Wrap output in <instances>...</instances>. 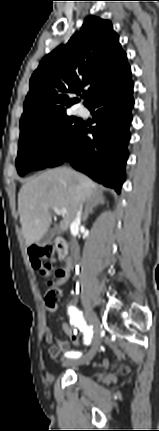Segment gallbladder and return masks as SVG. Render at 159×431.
<instances>
[{"instance_id": "bac80fb5", "label": "gallbladder", "mask_w": 159, "mask_h": 431, "mask_svg": "<svg viewBox=\"0 0 159 431\" xmlns=\"http://www.w3.org/2000/svg\"><path fill=\"white\" fill-rule=\"evenodd\" d=\"M56 233V230L53 228H49L46 233L38 240V245L45 246L53 239L54 235Z\"/></svg>"}]
</instances>
